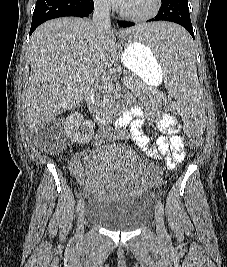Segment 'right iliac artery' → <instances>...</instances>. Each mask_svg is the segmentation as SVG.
I'll use <instances>...</instances> for the list:
<instances>
[{"label":"right iliac artery","instance_id":"right-iliac-artery-1","mask_svg":"<svg viewBox=\"0 0 227 267\" xmlns=\"http://www.w3.org/2000/svg\"><path fill=\"white\" fill-rule=\"evenodd\" d=\"M83 199L81 198L79 201H78V204H77V213L81 210L82 206H83Z\"/></svg>","mask_w":227,"mask_h":267}]
</instances>
